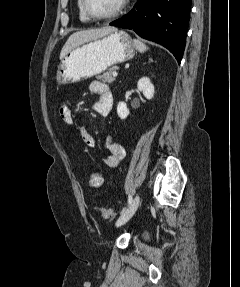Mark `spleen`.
Returning a JSON list of instances; mask_svg holds the SVG:
<instances>
[{"label": "spleen", "instance_id": "1", "mask_svg": "<svg viewBox=\"0 0 240 287\" xmlns=\"http://www.w3.org/2000/svg\"><path fill=\"white\" fill-rule=\"evenodd\" d=\"M134 44L136 49L140 52V53H144L145 51L148 50V47L142 43L139 39H134Z\"/></svg>", "mask_w": 240, "mask_h": 287}]
</instances>
